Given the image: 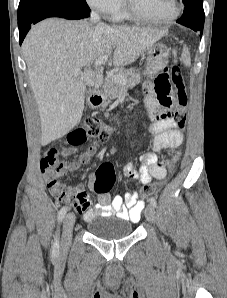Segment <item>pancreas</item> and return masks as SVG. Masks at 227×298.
<instances>
[{
    "label": "pancreas",
    "instance_id": "obj_1",
    "mask_svg": "<svg viewBox=\"0 0 227 298\" xmlns=\"http://www.w3.org/2000/svg\"><path fill=\"white\" fill-rule=\"evenodd\" d=\"M115 76H121L124 78V83H117L114 81ZM141 75L138 70L134 68L121 69L115 75L107 79L104 85L105 100L102 107H106L112 99H115L121 95L122 92L127 91L129 88L140 83Z\"/></svg>",
    "mask_w": 227,
    "mask_h": 298
}]
</instances>
